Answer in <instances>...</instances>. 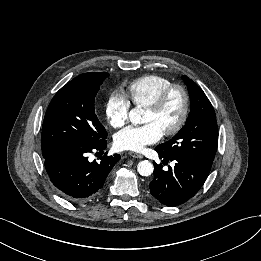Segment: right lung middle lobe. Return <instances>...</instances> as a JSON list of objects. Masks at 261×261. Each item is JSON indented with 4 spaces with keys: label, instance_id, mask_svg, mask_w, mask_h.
I'll list each match as a JSON object with an SVG mask.
<instances>
[{
    "label": "right lung middle lobe",
    "instance_id": "1",
    "mask_svg": "<svg viewBox=\"0 0 261 261\" xmlns=\"http://www.w3.org/2000/svg\"><path fill=\"white\" fill-rule=\"evenodd\" d=\"M108 75L83 73L56 93L42 126L44 158L74 147H89L105 138L107 132L95 114L94 101Z\"/></svg>",
    "mask_w": 261,
    "mask_h": 261
}]
</instances>
